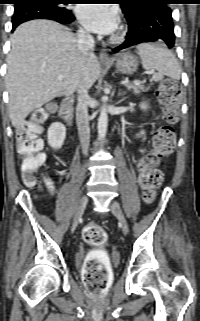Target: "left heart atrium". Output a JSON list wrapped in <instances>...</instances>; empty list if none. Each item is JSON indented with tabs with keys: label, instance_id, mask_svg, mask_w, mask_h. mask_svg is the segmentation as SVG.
I'll return each instance as SVG.
<instances>
[{
	"label": "left heart atrium",
	"instance_id": "left-heart-atrium-1",
	"mask_svg": "<svg viewBox=\"0 0 200 321\" xmlns=\"http://www.w3.org/2000/svg\"><path fill=\"white\" fill-rule=\"evenodd\" d=\"M77 16L88 30L99 34L113 33L118 26L116 10L106 4H82Z\"/></svg>",
	"mask_w": 200,
	"mask_h": 321
}]
</instances>
